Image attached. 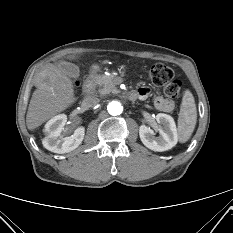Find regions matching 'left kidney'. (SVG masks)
<instances>
[{"instance_id":"5707ae66","label":"left kidney","mask_w":233,"mask_h":233,"mask_svg":"<svg viewBox=\"0 0 233 233\" xmlns=\"http://www.w3.org/2000/svg\"><path fill=\"white\" fill-rule=\"evenodd\" d=\"M156 121L159 124V137H155L154 131L145 125L140 126L139 136L147 148L153 151L163 152L177 144V128L174 119L170 115L159 113L156 115Z\"/></svg>"}]
</instances>
